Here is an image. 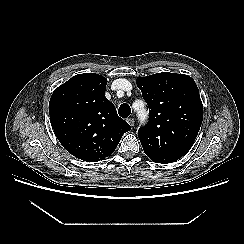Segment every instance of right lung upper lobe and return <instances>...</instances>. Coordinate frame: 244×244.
Returning <instances> with one entry per match:
<instances>
[{
	"instance_id": "obj_1",
	"label": "right lung upper lobe",
	"mask_w": 244,
	"mask_h": 244,
	"mask_svg": "<svg viewBox=\"0 0 244 244\" xmlns=\"http://www.w3.org/2000/svg\"><path fill=\"white\" fill-rule=\"evenodd\" d=\"M107 79L78 74L60 85L49 102L52 128L62 146L75 157L96 162L116 149L131 127L105 97Z\"/></svg>"
}]
</instances>
